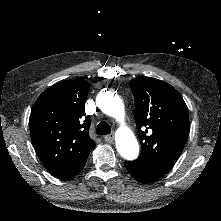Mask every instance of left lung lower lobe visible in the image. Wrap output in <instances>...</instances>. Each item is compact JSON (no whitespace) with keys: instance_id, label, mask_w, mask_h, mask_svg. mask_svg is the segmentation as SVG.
I'll list each match as a JSON object with an SVG mask.
<instances>
[{"instance_id":"1","label":"left lung lower lobe","mask_w":221,"mask_h":221,"mask_svg":"<svg viewBox=\"0 0 221 221\" xmlns=\"http://www.w3.org/2000/svg\"><path fill=\"white\" fill-rule=\"evenodd\" d=\"M125 167L137 181L144 184L151 183L160 178L159 176L149 172L143 165L136 161L125 162Z\"/></svg>"}]
</instances>
